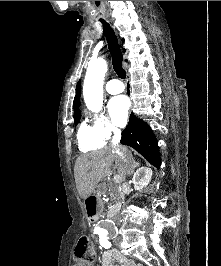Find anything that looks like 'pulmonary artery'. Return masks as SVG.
<instances>
[{
  "label": "pulmonary artery",
  "instance_id": "e3ab8cb5",
  "mask_svg": "<svg viewBox=\"0 0 221 266\" xmlns=\"http://www.w3.org/2000/svg\"><path fill=\"white\" fill-rule=\"evenodd\" d=\"M106 91L109 94H118L124 91V85L118 79H111L106 84Z\"/></svg>",
  "mask_w": 221,
  "mask_h": 266
}]
</instances>
